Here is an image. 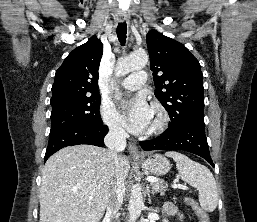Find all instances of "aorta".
I'll list each match as a JSON object with an SVG mask.
<instances>
[{
    "label": "aorta",
    "instance_id": "762f6f07",
    "mask_svg": "<svg viewBox=\"0 0 257 222\" xmlns=\"http://www.w3.org/2000/svg\"><path fill=\"white\" fill-rule=\"evenodd\" d=\"M148 63V55L144 51H135L130 55L122 57L116 65L115 75L117 77L124 76L134 70L144 68ZM117 99H120V93L115 88ZM144 206L141 186L138 184L133 185L130 201H129V222H135L140 216Z\"/></svg>",
    "mask_w": 257,
    "mask_h": 222
}]
</instances>
